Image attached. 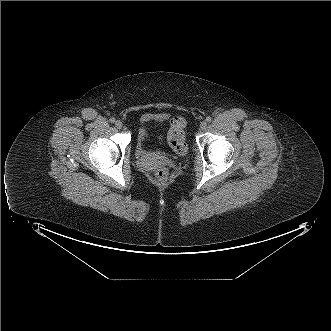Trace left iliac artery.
<instances>
[{"label": "left iliac artery", "instance_id": "left-iliac-artery-1", "mask_svg": "<svg viewBox=\"0 0 331 331\" xmlns=\"http://www.w3.org/2000/svg\"><path fill=\"white\" fill-rule=\"evenodd\" d=\"M212 121V118L210 117V116H208L207 118H206V122L207 123H210Z\"/></svg>", "mask_w": 331, "mask_h": 331}]
</instances>
